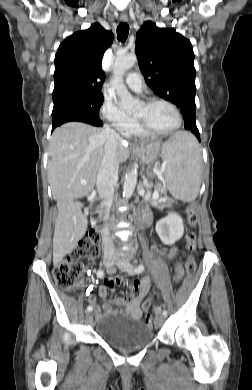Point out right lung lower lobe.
<instances>
[{
    "label": "right lung lower lobe",
    "instance_id": "98d812e1",
    "mask_svg": "<svg viewBox=\"0 0 252 390\" xmlns=\"http://www.w3.org/2000/svg\"><path fill=\"white\" fill-rule=\"evenodd\" d=\"M70 121H80V122H85V123H88V124H91V125H94V126H102L103 124L102 123H95V122H92V121H89L87 119H83V118H76V117H65V118H60V119H57L55 121H53V126H52V131L55 127L63 124V123H66V122H70Z\"/></svg>",
    "mask_w": 252,
    "mask_h": 390
}]
</instances>
